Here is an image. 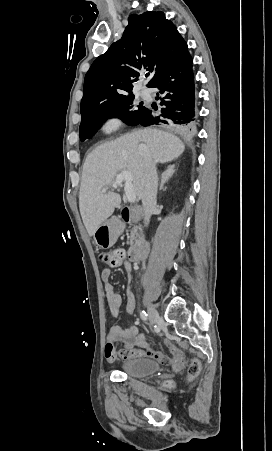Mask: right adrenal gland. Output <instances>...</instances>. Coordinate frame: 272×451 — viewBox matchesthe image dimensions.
<instances>
[{"instance_id": "obj_1", "label": "right adrenal gland", "mask_w": 272, "mask_h": 451, "mask_svg": "<svg viewBox=\"0 0 272 451\" xmlns=\"http://www.w3.org/2000/svg\"><path fill=\"white\" fill-rule=\"evenodd\" d=\"M174 168H175V166H170V168H168V170H166V172H163L159 190H163L164 184H166V182H168L169 178H171L172 174H174V172H176V170H174Z\"/></svg>"}]
</instances>
